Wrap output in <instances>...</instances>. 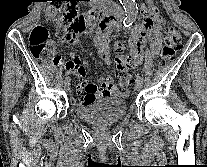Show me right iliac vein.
<instances>
[{
	"label": "right iliac vein",
	"instance_id": "1",
	"mask_svg": "<svg viewBox=\"0 0 207 167\" xmlns=\"http://www.w3.org/2000/svg\"><path fill=\"white\" fill-rule=\"evenodd\" d=\"M64 89H65L66 91H68V90L70 89V83H69V82L65 83V85H64Z\"/></svg>",
	"mask_w": 207,
	"mask_h": 167
}]
</instances>
